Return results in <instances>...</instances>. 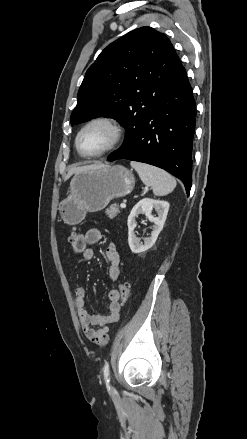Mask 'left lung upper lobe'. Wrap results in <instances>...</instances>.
<instances>
[{
	"instance_id": "5c2ea615",
	"label": "left lung upper lobe",
	"mask_w": 247,
	"mask_h": 439,
	"mask_svg": "<svg viewBox=\"0 0 247 439\" xmlns=\"http://www.w3.org/2000/svg\"><path fill=\"white\" fill-rule=\"evenodd\" d=\"M170 40L150 27L135 29L108 45L89 67L71 125L94 117L115 118L127 143L153 111L158 96L183 73Z\"/></svg>"
}]
</instances>
